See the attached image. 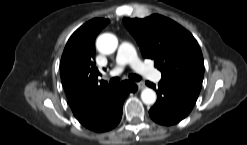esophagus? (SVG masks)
<instances>
[{
  "instance_id": "34e87169",
  "label": "esophagus",
  "mask_w": 247,
  "mask_h": 145,
  "mask_svg": "<svg viewBox=\"0 0 247 145\" xmlns=\"http://www.w3.org/2000/svg\"><path fill=\"white\" fill-rule=\"evenodd\" d=\"M137 86L141 90V89H143L145 87V83L144 82H138Z\"/></svg>"
}]
</instances>
